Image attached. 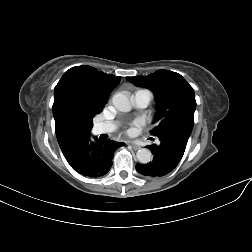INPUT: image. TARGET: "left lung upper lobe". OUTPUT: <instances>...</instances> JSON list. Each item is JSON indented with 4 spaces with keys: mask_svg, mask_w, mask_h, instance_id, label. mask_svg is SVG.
Masks as SVG:
<instances>
[{
    "mask_svg": "<svg viewBox=\"0 0 252 252\" xmlns=\"http://www.w3.org/2000/svg\"><path fill=\"white\" fill-rule=\"evenodd\" d=\"M136 86L150 89L157 100V114L154 122L158 125L151 131L160 137L171 132L191 134L194 125L196 100L193 88L178 73L158 70L146 77H126Z\"/></svg>",
    "mask_w": 252,
    "mask_h": 252,
    "instance_id": "left-lung-upper-lobe-1",
    "label": "left lung upper lobe"
}]
</instances>
